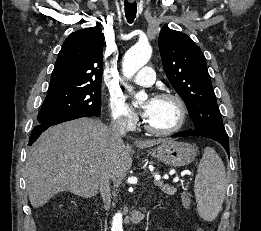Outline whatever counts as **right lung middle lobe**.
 <instances>
[{
  "mask_svg": "<svg viewBox=\"0 0 261 231\" xmlns=\"http://www.w3.org/2000/svg\"><path fill=\"white\" fill-rule=\"evenodd\" d=\"M101 86L49 88L38 122L62 116L87 113L100 116Z\"/></svg>",
  "mask_w": 261,
  "mask_h": 231,
  "instance_id": "obj_1",
  "label": "right lung middle lobe"
}]
</instances>
